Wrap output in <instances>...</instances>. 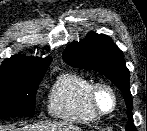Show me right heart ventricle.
I'll list each match as a JSON object with an SVG mask.
<instances>
[{
    "label": "right heart ventricle",
    "instance_id": "right-heart-ventricle-1",
    "mask_svg": "<svg viewBox=\"0 0 147 131\" xmlns=\"http://www.w3.org/2000/svg\"><path fill=\"white\" fill-rule=\"evenodd\" d=\"M93 80L77 72H64L52 84L48 93V113L57 119L90 124L98 117L92 112L88 94Z\"/></svg>",
    "mask_w": 147,
    "mask_h": 131
}]
</instances>
